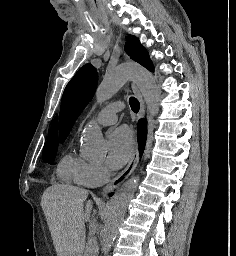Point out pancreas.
I'll return each mask as SVG.
<instances>
[{
	"mask_svg": "<svg viewBox=\"0 0 236 256\" xmlns=\"http://www.w3.org/2000/svg\"><path fill=\"white\" fill-rule=\"evenodd\" d=\"M91 224H98L99 220L98 219H91L90 220ZM90 238L89 242H86V247L88 249V254H95V249L97 246V238H93L94 234H97L98 227L97 226H90Z\"/></svg>",
	"mask_w": 236,
	"mask_h": 256,
	"instance_id": "1",
	"label": "pancreas"
}]
</instances>
